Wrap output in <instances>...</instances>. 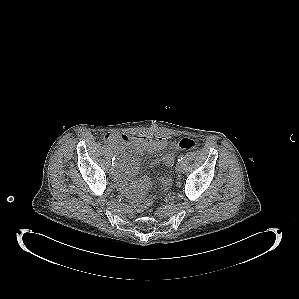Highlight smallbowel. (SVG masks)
I'll list each match as a JSON object with an SVG mask.
<instances>
[{
    "instance_id": "c3829d8e",
    "label": "small bowel",
    "mask_w": 299,
    "mask_h": 299,
    "mask_svg": "<svg viewBox=\"0 0 299 299\" xmlns=\"http://www.w3.org/2000/svg\"><path fill=\"white\" fill-rule=\"evenodd\" d=\"M104 139L115 149L118 154L119 173L117 175L119 181L130 187L138 188L144 191L149 188L150 180L143 177L138 181L131 179L136 175L139 169V156L144 152L161 151L165 149L169 140L165 136H149L139 135L130 137L125 134L108 133ZM126 149L130 151L127 153ZM175 162L173 152H168L160 158L154 160L152 164L161 163L165 166H172ZM161 185L167 189L171 184V179L163 177L160 179Z\"/></svg>"
}]
</instances>
